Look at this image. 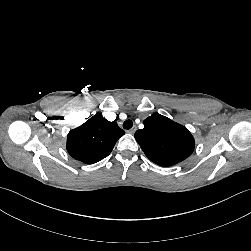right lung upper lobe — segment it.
<instances>
[{
	"instance_id": "1",
	"label": "right lung upper lobe",
	"mask_w": 251,
	"mask_h": 251,
	"mask_svg": "<svg viewBox=\"0 0 251 251\" xmlns=\"http://www.w3.org/2000/svg\"><path fill=\"white\" fill-rule=\"evenodd\" d=\"M124 134L115 121L110 122L101 114H95L81 126L70 130L66 148L74 159L93 164L107 157Z\"/></svg>"
}]
</instances>
